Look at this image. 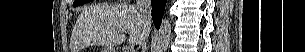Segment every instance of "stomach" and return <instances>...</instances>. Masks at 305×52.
<instances>
[{"instance_id": "1", "label": "stomach", "mask_w": 305, "mask_h": 52, "mask_svg": "<svg viewBox=\"0 0 305 52\" xmlns=\"http://www.w3.org/2000/svg\"><path fill=\"white\" fill-rule=\"evenodd\" d=\"M103 52H112L111 50H106V51H103Z\"/></svg>"}]
</instances>
